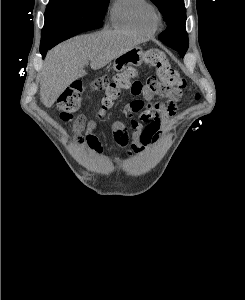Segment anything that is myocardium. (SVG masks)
<instances>
[{
    "label": "myocardium",
    "mask_w": 245,
    "mask_h": 300,
    "mask_svg": "<svg viewBox=\"0 0 245 300\" xmlns=\"http://www.w3.org/2000/svg\"><path fill=\"white\" fill-rule=\"evenodd\" d=\"M156 19H157V21H158V16H157V14H156Z\"/></svg>",
    "instance_id": "f54148a6"
}]
</instances>
